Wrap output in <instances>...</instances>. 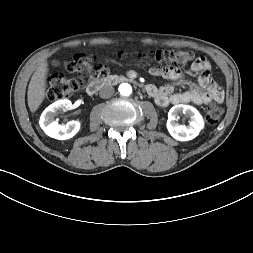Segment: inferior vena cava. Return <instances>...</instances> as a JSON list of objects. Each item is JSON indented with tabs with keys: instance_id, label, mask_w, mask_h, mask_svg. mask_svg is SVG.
Returning <instances> with one entry per match:
<instances>
[{
	"instance_id": "1",
	"label": "inferior vena cava",
	"mask_w": 253,
	"mask_h": 253,
	"mask_svg": "<svg viewBox=\"0 0 253 253\" xmlns=\"http://www.w3.org/2000/svg\"><path fill=\"white\" fill-rule=\"evenodd\" d=\"M114 94V88L112 86H103L99 91L101 98H109Z\"/></svg>"
}]
</instances>
